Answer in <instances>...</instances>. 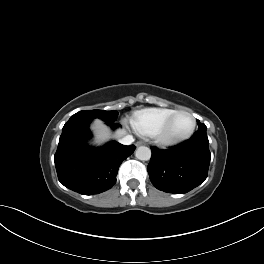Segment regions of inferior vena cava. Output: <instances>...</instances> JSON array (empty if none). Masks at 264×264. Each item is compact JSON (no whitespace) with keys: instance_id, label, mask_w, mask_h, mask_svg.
Returning a JSON list of instances; mask_svg holds the SVG:
<instances>
[{"instance_id":"602c4592","label":"inferior vena cava","mask_w":264,"mask_h":264,"mask_svg":"<svg viewBox=\"0 0 264 264\" xmlns=\"http://www.w3.org/2000/svg\"><path fill=\"white\" fill-rule=\"evenodd\" d=\"M133 142H134V139H133V136L131 135H126L120 140V143L123 145H130Z\"/></svg>"}]
</instances>
